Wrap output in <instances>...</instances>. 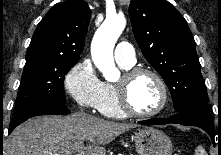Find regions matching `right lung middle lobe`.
<instances>
[{
  "label": "right lung middle lobe",
  "instance_id": "obj_1",
  "mask_svg": "<svg viewBox=\"0 0 221 155\" xmlns=\"http://www.w3.org/2000/svg\"><path fill=\"white\" fill-rule=\"evenodd\" d=\"M77 63L49 58L26 59L16 98L14 118L46 104L64 105L63 81Z\"/></svg>",
  "mask_w": 221,
  "mask_h": 155
}]
</instances>
